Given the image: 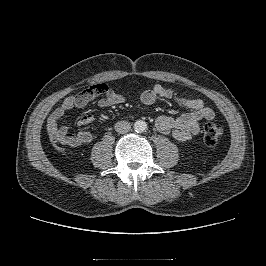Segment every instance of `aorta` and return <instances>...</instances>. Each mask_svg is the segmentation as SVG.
Returning <instances> with one entry per match:
<instances>
[{"label":"aorta","mask_w":266,"mask_h":266,"mask_svg":"<svg viewBox=\"0 0 266 266\" xmlns=\"http://www.w3.org/2000/svg\"><path fill=\"white\" fill-rule=\"evenodd\" d=\"M147 129V123L143 120H138L134 123V130L137 133L144 132Z\"/></svg>","instance_id":"762f6f07"}]
</instances>
